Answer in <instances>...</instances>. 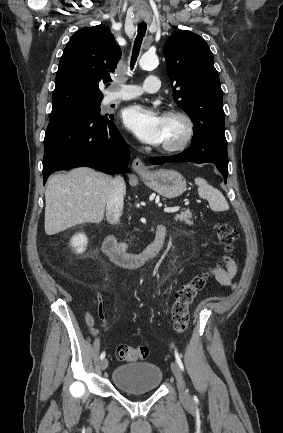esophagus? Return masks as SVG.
I'll return each instance as SVG.
<instances>
[{"mask_svg": "<svg viewBox=\"0 0 283 433\" xmlns=\"http://www.w3.org/2000/svg\"><path fill=\"white\" fill-rule=\"evenodd\" d=\"M132 168L135 172L138 173H144L147 171V168L145 167L144 163L139 158H135L133 160Z\"/></svg>", "mask_w": 283, "mask_h": 433, "instance_id": "34e87169", "label": "esophagus"}]
</instances>
